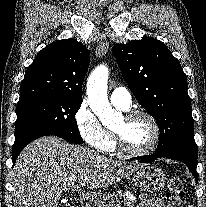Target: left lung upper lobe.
I'll use <instances>...</instances> for the list:
<instances>
[{
	"label": "left lung upper lobe",
	"instance_id": "left-lung-upper-lobe-1",
	"mask_svg": "<svg viewBox=\"0 0 206 207\" xmlns=\"http://www.w3.org/2000/svg\"><path fill=\"white\" fill-rule=\"evenodd\" d=\"M112 52L133 94L159 125L155 153L197 154L187 78L167 46L143 37L116 44Z\"/></svg>",
	"mask_w": 206,
	"mask_h": 207
}]
</instances>
